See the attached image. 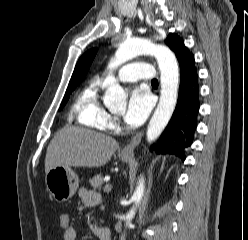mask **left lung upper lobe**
Returning <instances> with one entry per match:
<instances>
[{
	"instance_id": "1",
	"label": "left lung upper lobe",
	"mask_w": 248,
	"mask_h": 240,
	"mask_svg": "<svg viewBox=\"0 0 248 240\" xmlns=\"http://www.w3.org/2000/svg\"><path fill=\"white\" fill-rule=\"evenodd\" d=\"M165 43L175 53L179 65L191 54L189 49L184 45L183 39L174 33L168 35Z\"/></svg>"
}]
</instances>
